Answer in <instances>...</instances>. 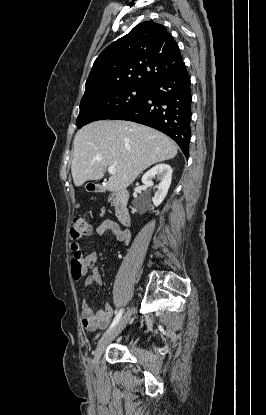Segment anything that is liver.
I'll list each match as a JSON object with an SVG mask.
<instances>
[{"label": "liver", "mask_w": 266, "mask_h": 415, "mask_svg": "<svg viewBox=\"0 0 266 415\" xmlns=\"http://www.w3.org/2000/svg\"><path fill=\"white\" fill-rule=\"evenodd\" d=\"M71 173L75 186L103 178L114 166L106 188L121 191L151 165L177 155L176 143L165 134L130 121L100 120L77 131Z\"/></svg>", "instance_id": "liver-1"}]
</instances>
